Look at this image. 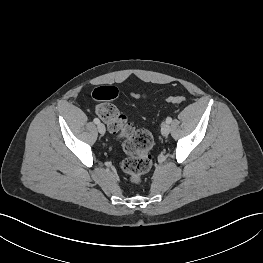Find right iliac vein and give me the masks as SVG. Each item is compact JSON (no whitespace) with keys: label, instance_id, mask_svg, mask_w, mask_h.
Segmentation results:
<instances>
[{"label":"right iliac vein","instance_id":"63e3f726","mask_svg":"<svg viewBox=\"0 0 263 263\" xmlns=\"http://www.w3.org/2000/svg\"><path fill=\"white\" fill-rule=\"evenodd\" d=\"M97 129H98V132L100 134H104L106 132V128H105L104 124H102V123H98Z\"/></svg>","mask_w":263,"mask_h":263}]
</instances>
